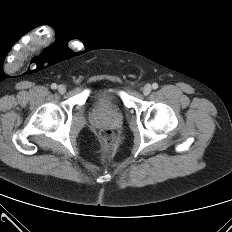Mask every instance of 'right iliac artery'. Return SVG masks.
Returning <instances> with one entry per match:
<instances>
[{"instance_id":"right-iliac-artery-1","label":"right iliac artery","mask_w":232,"mask_h":232,"mask_svg":"<svg viewBox=\"0 0 232 232\" xmlns=\"http://www.w3.org/2000/svg\"><path fill=\"white\" fill-rule=\"evenodd\" d=\"M51 88H52V89H56V88H57V85H56L55 83H53V84L51 85Z\"/></svg>"}]
</instances>
